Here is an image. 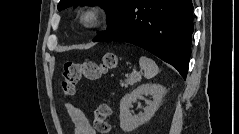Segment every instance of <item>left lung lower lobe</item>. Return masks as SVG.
Listing matches in <instances>:
<instances>
[{"label":"left lung lower lobe","instance_id":"0a47b994","mask_svg":"<svg viewBox=\"0 0 239 134\" xmlns=\"http://www.w3.org/2000/svg\"><path fill=\"white\" fill-rule=\"evenodd\" d=\"M192 0H130L118 21L93 40L137 45L187 76L193 26Z\"/></svg>","mask_w":239,"mask_h":134}]
</instances>
